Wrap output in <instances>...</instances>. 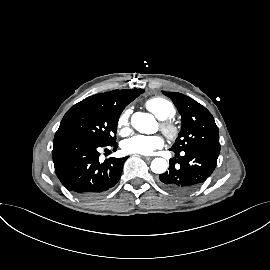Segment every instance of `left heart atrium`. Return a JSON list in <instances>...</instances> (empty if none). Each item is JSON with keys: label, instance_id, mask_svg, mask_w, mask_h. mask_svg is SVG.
I'll return each instance as SVG.
<instances>
[{"label": "left heart atrium", "instance_id": "39dd6f15", "mask_svg": "<svg viewBox=\"0 0 270 270\" xmlns=\"http://www.w3.org/2000/svg\"><path fill=\"white\" fill-rule=\"evenodd\" d=\"M163 145L164 139L160 135H136L125 140L122 148L128 154L151 155Z\"/></svg>", "mask_w": 270, "mask_h": 270}]
</instances>
